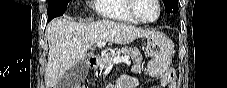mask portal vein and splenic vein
<instances>
[{"instance_id": "18ae733b", "label": "portal vein and splenic vein", "mask_w": 227, "mask_h": 88, "mask_svg": "<svg viewBox=\"0 0 227 88\" xmlns=\"http://www.w3.org/2000/svg\"><path fill=\"white\" fill-rule=\"evenodd\" d=\"M105 45H106V42H104V41L96 44V46H98V47H103ZM129 59H130L129 56H117V57L113 58L112 63L128 62Z\"/></svg>"}]
</instances>
